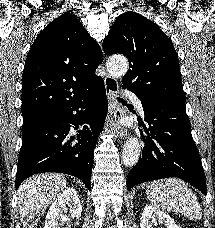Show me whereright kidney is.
I'll return each mask as SVG.
<instances>
[{
  "instance_id": "1",
  "label": "right kidney",
  "mask_w": 215,
  "mask_h": 228,
  "mask_svg": "<svg viewBox=\"0 0 215 228\" xmlns=\"http://www.w3.org/2000/svg\"><path fill=\"white\" fill-rule=\"evenodd\" d=\"M67 210H69L70 218H79L82 214L79 196L73 188H66L52 202L45 218L44 228H58L61 224L68 222V218L65 216Z\"/></svg>"
}]
</instances>
